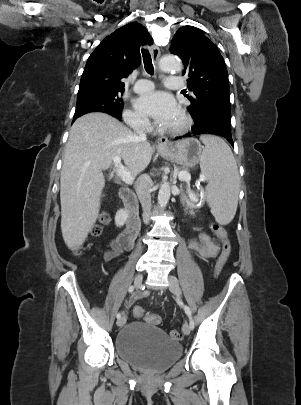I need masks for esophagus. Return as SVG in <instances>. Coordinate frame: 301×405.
I'll return each instance as SVG.
<instances>
[{"instance_id":"34e87169","label":"esophagus","mask_w":301,"mask_h":405,"mask_svg":"<svg viewBox=\"0 0 301 405\" xmlns=\"http://www.w3.org/2000/svg\"><path fill=\"white\" fill-rule=\"evenodd\" d=\"M151 55H152V58H153L155 64L158 65L159 59H160V49L158 46L153 45L151 47ZM169 145H170V141L165 136L160 137L157 141V146L159 148H166Z\"/></svg>"}]
</instances>
